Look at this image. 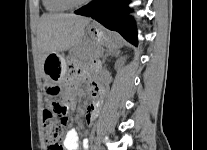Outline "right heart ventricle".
Here are the masks:
<instances>
[{"instance_id":"right-heart-ventricle-1","label":"right heart ventricle","mask_w":207,"mask_h":150,"mask_svg":"<svg viewBox=\"0 0 207 150\" xmlns=\"http://www.w3.org/2000/svg\"><path fill=\"white\" fill-rule=\"evenodd\" d=\"M42 2L50 13H62L69 9L61 0H42Z\"/></svg>"}]
</instances>
